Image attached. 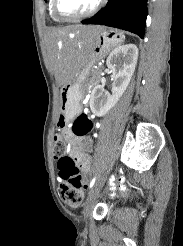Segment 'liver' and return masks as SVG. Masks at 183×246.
<instances>
[{
    "instance_id": "obj_1",
    "label": "liver",
    "mask_w": 183,
    "mask_h": 246,
    "mask_svg": "<svg viewBox=\"0 0 183 246\" xmlns=\"http://www.w3.org/2000/svg\"><path fill=\"white\" fill-rule=\"evenodd\" d=\"M102 27L71 25L47 34L50 62L59 84L69 83L86 62L88 51ZM73 33V38H70ZM70 38V39H69Z\"/></svg>"
}]
</instances>
